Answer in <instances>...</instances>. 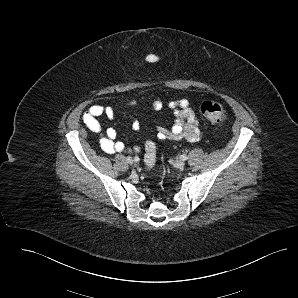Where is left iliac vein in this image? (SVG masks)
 <instances>
[{
	"label": "left iliac vein",
	"mask_w": 298,
	"mask_h": 298,
	"mask_svg": "<svg viewBox=\"0 0 298 298\" xmlns=\"http://www.w3.org/2000/svg\"><path fill=\"white\" fill-rule=\"evenodd\" d=\"M176 168L183 169L185 167V162L182 160H177L173 164Z\"/></svg>",
	"instance_id": "4c4485c4"
}]
</instances>
